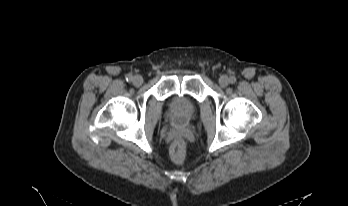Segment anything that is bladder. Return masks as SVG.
Listing matches in <instances>:
<instances>
[{
  "mask_svg": "<svg viewBox=\"0 0 348 206\" xmlns=\"http://www.w3.org/2000/svg\"><path fill=\"white\" fill-rule=\"evenodd\" d=\"M172 119L178 123H186L192 119L196 112L194 101L184 95L173 97L169 104Z\"/></svg>",
  "mask_w": 348,
  "mask_h": 206,
  "instance_id": "1",
  "label": "bladder"
}]
</instances>
